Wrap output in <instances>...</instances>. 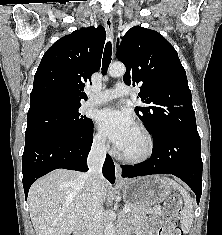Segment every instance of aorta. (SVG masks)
Segmentation results:
<instances>
[{
    "label": "aorta",
    "instance_id": "1",
    "mask_svg": "<svg viewBox=\"0 0 222 235\" xmlns=\"http://www.w3.org/2000/svg\"><path fill=\"white\" fill-rule=\"evenodd\" d=\"M126 72V67L123 63H113L108 68V73L112 77L123 76ZM105 235H115V226L112 221L105 224L104 228Z\"/></svg>",
    "mask_w": 222,
    "mask_h": 235
}]
</instances>
